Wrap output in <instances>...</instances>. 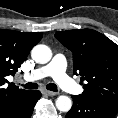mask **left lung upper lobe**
I'll use <instances>...</instances> for the list:
<instances>
[{
  "label": "left lung upper lobe",
  "instance_id": "1",
  "mask_svg": "<svg viewBox=\"0 0 118 118\" xmlns=\"http://www.w3.org/2000/svg\"><path fill=\"white\" fill-rule=\"evenodd\" d=\"M55 37L73 53V69L80 75L81 97L118 106V46L91 29L56 32Z\"/></svg>",
  "mask_w": 118,
  "mask_h": 118
}]
</instances>
